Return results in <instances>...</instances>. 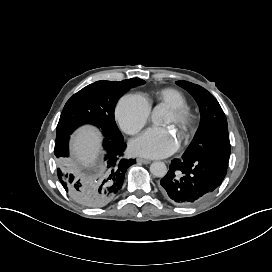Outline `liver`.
<instances>
[{
    "label": "liver",
    "instance_id": "liver-1",
    "mask_svg": "<svg viewBox=\"0 0 272 272\" xmlns=\"http://www.w3.org/2000/svg\"><path fill=\"white\" fill-rule=\"evenodd\" d=\"M101 134L92 126H84L77 130L71 140V172L84 179L82 171L94 167L99 156L104 153L101 149Z\"/></svg>",
    "mask_w": 272,
    "mask_h": 272
}]
</instances>
